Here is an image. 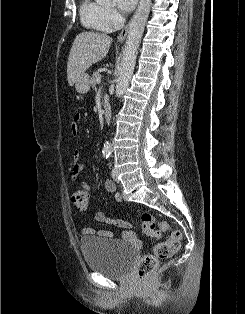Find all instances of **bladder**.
Listing matches in <instances>:
<instances>
[{"label":"bladder","instance_id":"bladder-1","mask_svg":"<svg viewBox=\"0 0 245 314\" xmlns=\"http://www.w3.org/2000/svg\"><path fill=\"white\" fill-rule=\"evenodd\" d=\"M80 248L87 268L107 277L125 276L138 256L123 242L97 236L82 239Z\"/></svg>","mask_w":245,"mask_h":314}]
</instances>
